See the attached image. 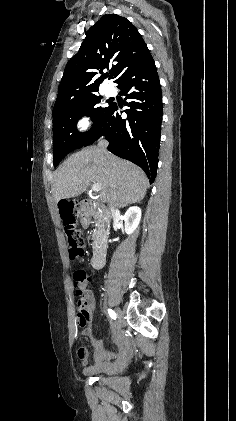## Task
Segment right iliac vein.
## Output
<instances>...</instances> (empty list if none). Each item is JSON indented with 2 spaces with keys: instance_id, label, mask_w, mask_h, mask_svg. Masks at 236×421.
<instances>
[{
  "instance_id": "63e3f726",
  "label": "right iliac vein",
  "mask_w": 236,
  "mask_h": 421,
  "mask_svg": "<svg viewBox=\"0 0 236 421\" xmlns=\"http://www.w3.org/2000/svg\"><path fill=\"white\" fill-rule=\"evenodd\" d=\"M122 321H123V314L119 309H117V320L114 323V330H113L115 335L120 332L122 328Z\"/></svg>"
}]
</instances>
